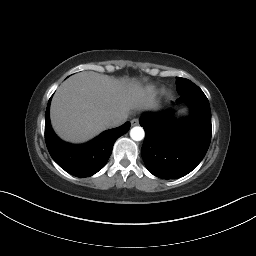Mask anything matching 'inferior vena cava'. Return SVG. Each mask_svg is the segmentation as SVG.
I'll list each match as a JSON object with an SVG mask.
<instances>
[{"instance_id":"602c4592","label":"inferior vena cava","mask_w":256,"mask_h":256,"mask_svg":"<svg viewBox=\"0 0 256 256\" xmlns=\"http://www.w3.org/2000/svg\"><path fill=\"white\" fill-rule=\"evenodd\" d=\"M127 117L120 116L109 123L110 127H117L126 121Z\"/></svg>"}]
</instances>
